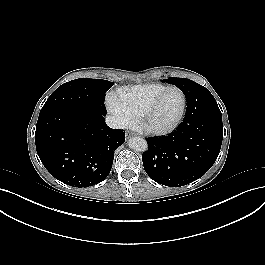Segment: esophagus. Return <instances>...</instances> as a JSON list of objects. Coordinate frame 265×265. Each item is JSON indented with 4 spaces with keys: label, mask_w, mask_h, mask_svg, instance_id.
Returning <instances> with one entry per match:
<instances>
[{
    "label": "esophagus",
    "mask_w": 265,
    "mask_h": 265,
    "mask_svg": "<svg viewBox=\"0 0 265 265\" xmlns=\"http://www.w3.org/2000/svg\"><path fill=\"white\" fill-rule=\"evenodd\" d=\"M133 135H135L134 133H129V136H133Z\"/></svg>",
    "instance_id": "1"
}]
</instances>
